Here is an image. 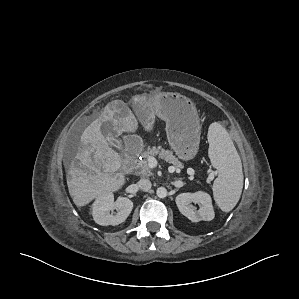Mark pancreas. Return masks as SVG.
<instances>
[{"instance_id": "pancreas-1", "label": "pancreas", "mask_w": 299, "mask_h": 299, "mask_svg": "<svg viewBox=\"0 0 299 299\" xmlns=\"http://www.w3.org/2000/svg\"><path fill=\"white\" fill-rule=\"evenodd\" d=\"M144 159L139 161L136 169L137 173L143 176L152 175L151 167L149 165V158L158 156L159 159H163L166 162L172 164L175 168H182L183 164L173 155L172 151L160 149L156 147H149L147 151L143 153Z\"/></svg>"}]
</instances>
